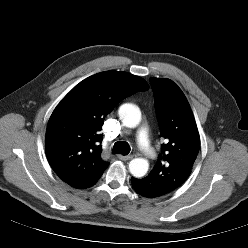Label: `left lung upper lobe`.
<instances>
[{
    "instance_id": "1",
    "label": "left lung upper lobe",
    "mask_w": 248,
    "mask_h": 248,
    "mask_svg": "<svg viewBox=\"0 0 248 248\" xmlns=\"http://www.w3.org/2000/svg\"><path fill=\"white\" fill-rule=\"evenodd\" d=\"M160 128L162 153L148 176L137 179L159 196L180 187L189 177L200 148V136L189 103L170 79L150 78Z\"/></svg>"
}]
</instances>
